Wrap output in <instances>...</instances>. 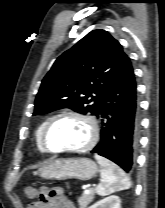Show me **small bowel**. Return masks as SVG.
I'll list each match as a JSON object with an SVG mask.
<instances>
[{"instance_id":"c3829d8e","label":"small bowel","mask_w":165,"mask_h":208,"mask_svg":"<svg viewBox=\"0 0 165 208\" xmlns=\"http://www.w3.org/2000/svg\"><path fill=\"white\" fill-rule=\"evenodd\" d=\"M27 208H76L60 187H41L39 200L30 203Z\"/></svg>"}]
</instances>
